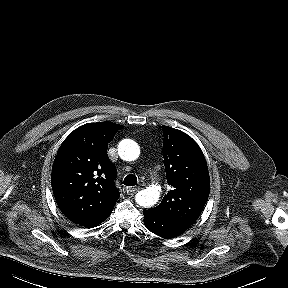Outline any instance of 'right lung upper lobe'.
<instances>
[{
	"instance_id": "cb5924a9",
	"label": "right lung upper lobe",
	"mask_w": 288,
	"mask_h": 288,
	"mask_svg": "<svg viewBox=\"0 0 288 288\" xmlns=\"http://www.w3.org/2000/svg\"><path fill=\"white\" fill-rule=\"evenodd\" d=\"M122 127L112 122L88 123L75 129L59 148L52 189L61 212L72 222L83 225L113 210L120 194L107 148Z\"/></svg>"
}]
</instances>
